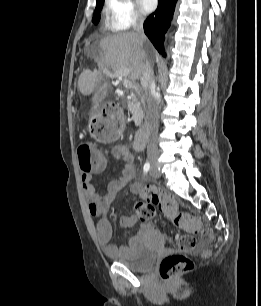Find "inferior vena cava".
Returning <instances> with one entry per match:
<instances>
[{
	"label": "inferior vena cava",
	"instance_id": "602c4592",
	"mask_svg": "<svg viewBox=\"0 0 261 306\" xmlns=\"http://www.w3.org/2000/svg\"><path fill=\"white\" fill-rule=\"evenodd\" d=\"M133 30L136 32L141 41L145 39L144 30H143V19L141 17H137L133 22ZM141 57L144 60V66L142 70V74L140 76V81L142 86L144 87V96L146 100L148 117L150 120V131L151 134L157 131L158 129V107H159V99L158 94L156 92V85L154 81V71L152 65L149 60H145V51L141 49L140 51ZM148 154H155L156 147L150 141L147 146Z\"/></svg>",
	"mask_w": 261,
	"mask_h": 306
}]
</instances>
